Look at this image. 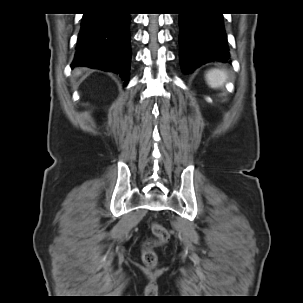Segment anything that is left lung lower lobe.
I'll return each instance as SVG.
<instances>
[{
    "label": "left lung lower lobe",
    "mask_w": 303,
    "mask_h": 303,
    "mask_svg": "<svg viewBox=\"0 0 303 303\" xmlns=\"http://www.w3.org/2000/svg\"><path fill=\"white\" fill-rule=\"evenodd\" d=\"M180 63L184 73H192L208 62H228L229 52L222 14H179Z\"/></svg>",
    "instance_id": "left-lung-lower-lobe-1"
}]
</instances>
